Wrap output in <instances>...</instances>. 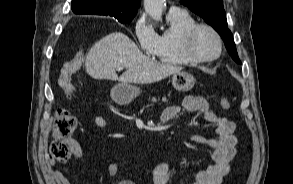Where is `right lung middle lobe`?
Listing matches in <instances>:
<instances>
[{
	"label": "right lung middle lobe",
	"mask_w": 293,
	"mask_h": 184,
	"mask_svg": "<svg viewBox=\"0 0 293 184\" xmlns=\"http://www.w3.org/2000/svg\"><path fill=\"white\" fill-rule=\"evenodd\" d=\"M133 18H124V19H119L118 21L121 23H128L132 20Z\"/></svg>",
	"instance_id": "right-lung-middle-lobe-1"
}]
</instances>
